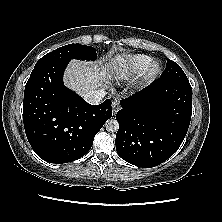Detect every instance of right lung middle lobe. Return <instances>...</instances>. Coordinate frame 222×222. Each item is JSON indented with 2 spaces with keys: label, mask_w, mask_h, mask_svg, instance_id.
<instances>
[{
  "label": "right lung middle lobe",
  "mask_w": 222,
  "mask_h": 222,
  "mask_svg": "<svg viewBox=\"0 0 222 222\" xmlns=\"http://www.w3.org/2000/svg\"><path fill=\"white\" fill-rule=\"evenodd\" d=\"M96 58L95 48L81 44H69L43 56L35 67L49 62H63L71 59L95 60Z\"/></svg>",
  "instance_id": "1"
}]
</instances>
